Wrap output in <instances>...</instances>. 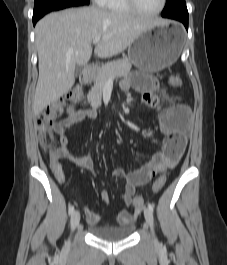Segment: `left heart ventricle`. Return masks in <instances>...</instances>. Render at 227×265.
<instances>
[{"label":"left heart ventricle","mask_w":227,"mask_h":265,"mask_svg":"<svg viewBox=\"0 0 227 265\" xmlns=\"http://www.w3.org/2000/svg\"><path fill=\"white\" fill-rule=\"evenodd\" d=\"M140 10L143 12H153L161 5V0H136Z\"/></svg>","instance_id":"left-heart-ventricle-1"}]
</instances>
